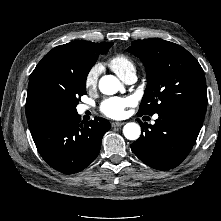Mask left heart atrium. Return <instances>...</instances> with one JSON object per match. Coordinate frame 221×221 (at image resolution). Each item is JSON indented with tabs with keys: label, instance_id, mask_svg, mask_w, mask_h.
Here are the masks:
<instances>
[{
	"label": "left heart atrium",
	"instance_id": "1",
	"mask_svg": "<svg viewBox=\"0 0 221 221\" xmlns=\"http://www.w3.org/2000/svg\"><path fill=\"white\" fill-rule=\"evenodd\" d=\"M133 104L129 97H111L104 100L100 105V111L110 118H121L125 115V109Z\"/></svg>",
	"mask_w": 221,
	"mask_h": 221
}]
</instances>
